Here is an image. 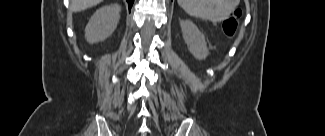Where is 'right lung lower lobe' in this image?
<instances>
[{
	"label": "right lung lower lobe",
	"mask_w": 325,
	"mask_h": 136,
	"mask_svg": "<svg viewBox=\"0 0 325 136\" xmlns=\"http://www.w3.org/2000/svg\"><path fill=\"white\" fill-rule=\"evenodd\" d=\"M127 2H128V5H129V10H130L132 5H133L134 0H127Z\"/></svg>",
	"instance_id": "98d812e1"
}]
</instances>
